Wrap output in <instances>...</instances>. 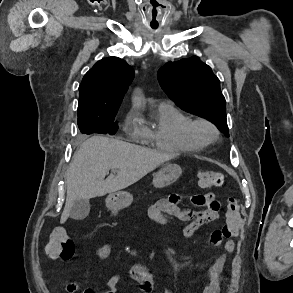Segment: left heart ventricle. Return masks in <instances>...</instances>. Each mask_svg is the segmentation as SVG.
Listing matches in <instances>:
<instances>
[{"label":"left heart ventricle","mask_w":293,"mask_h":293,"mask_svg":"<svg viewBox=\"0 0 293 293\" xmlns=\"http://www.w3.org/2000/svg\"><path fill=\"white\" fill-rule=\"evenodd\" d=\"M201 131L204 133L205 132V129H202Z\"/></svg>","instance_id":"obj_1"}]
</instances>
